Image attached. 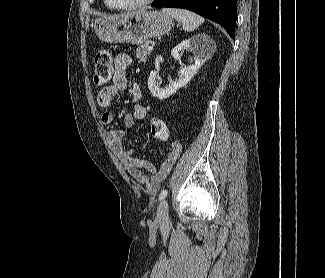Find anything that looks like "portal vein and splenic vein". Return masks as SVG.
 Wrapping results in <instances>:
<instances>
[{
  "mask_svg": "<svg viewBox=\"0 0 325 278\" xmlns=\"http://www.w3.org/2000/svg\"><path fill=\"white\" fill-rule=\"evenodd\" d=\"M147 49H148L149 52L153 51V47L152 46H148Z\"/></svg>",
  "mask_w": 325,
  "mask_h": 278,
  "instance_id": "1",
  "label": "portal vein and splenic vein"
}]
</instances>
